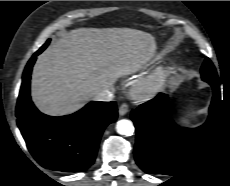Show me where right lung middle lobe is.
<instances>
[{
	"label": "right lung middle lobe",
	"mask_w": 230,
	"mask_h": 186,
	"mask_svg": "<svg viewBox=\"0 0 230 186\" xmlns=\"http://www.w3.org/2000/svg\"><path fill=\"white\" fill-rule=\"evenodd\" d=\"M49 42H50V39L47 40V42L39 49L40 53L48 46Z\"/></svg>",
	"instance_id": "obj_1"
}]
</instances>
